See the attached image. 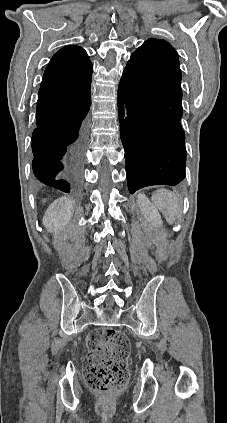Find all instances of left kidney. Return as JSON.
Listing matches in <instances>:
<instances>
[{"label": "left kidney", "mask_w": 227, "mask_h": 423, "mask_svg": "<svg viewBox=\"0 0 227 423\" xmlns=\"http://www.w3.org/2000/svg\"><path fill=\"white\" fill-rule=\"evenodd\" d=\"M137 204H139V208L141 213H143L146 221H149L151 225H162L161 215L158 210H156L155 206L149 202L148 198L144 196V194H138Z\"/></svg>", "instance_id": "obj_1"}]
</instances>
